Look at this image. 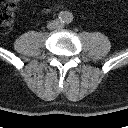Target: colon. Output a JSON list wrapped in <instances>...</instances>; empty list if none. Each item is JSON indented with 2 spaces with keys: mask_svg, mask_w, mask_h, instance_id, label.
<instances>
[{
  "mask_svg": "<svg viewBox=\"0 0 128 128\" xmlns=\"http://www.w3.org/2000/svg\"><path fill=\"white\" fill-rule=\"evenodd\" d=\"M15 2L0 0V30H8L13 24Z\"/></svg>",
  "mask_w": 128,
  "mask_h": 128,
  "instance_id": "obj_1",
  "label": "colon"
}]
</instances>
